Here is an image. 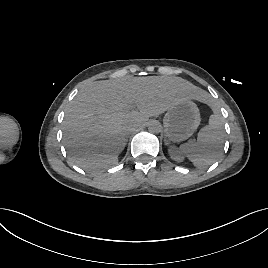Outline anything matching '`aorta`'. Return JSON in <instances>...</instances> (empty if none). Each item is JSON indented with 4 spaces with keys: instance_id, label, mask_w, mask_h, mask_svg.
<instances>
[{
    "instance_id": "1",
    "label": "aorta",
    "mask_w": 268,
    "mask_h": 268,
    "mask_svg": "<svg viewBox=\"0 0 268 268\" xmlns=\"http://www.w3.org/2000/svg\"><path fill=\"white\" fill-rule=\"evenodd\" d=\"M148 131L153 134H158L162 131V125L157 120H152L148 123Z\"/></svg>"
}]
</instances>
